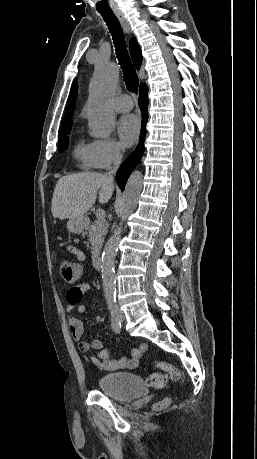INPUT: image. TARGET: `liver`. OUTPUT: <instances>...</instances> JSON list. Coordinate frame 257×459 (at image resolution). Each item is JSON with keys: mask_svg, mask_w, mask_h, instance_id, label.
Instances as JSON below:
<instances>
[{"mask_svg": "<svg viewBox=\"0 0 257 459\" xmlns=\"http://www.w3.org/2000/svg\"><path fill=\"white\" fill-rule=\"evenodd\" d=\"M114 191L106 174L81 172L60 178L54 188L51 212L54 218L82 217L95 203H106Z\"/></svg>", "mask_w": 257, "mask_h": 459, "instance_id": "6515ba94", "label": "liver"}]
</instances>
